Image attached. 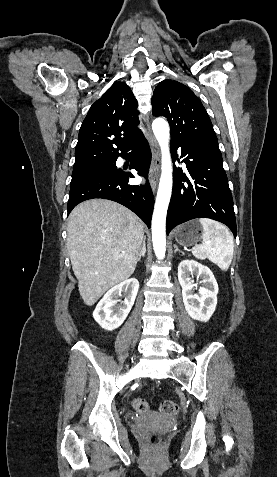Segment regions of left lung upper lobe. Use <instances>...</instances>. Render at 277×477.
<instances>
[{
  "instance_id": "1",
  "label": "left lung upper lobe",
  "mask_w": 277,
  "mask_h": 477,
  "mask_svg": "<svg viewBox=\"0 0 277 477\" xmlns=\"http://www.w3.org/2000/svg\"><path fill=\"white\" fill-rule=\"evenodd\" d=\"M153 115L170 123L171 139L215 140L211 120L199 98L185 85L163 80L152 97Z\"/></svg>"
}]
</instances>
